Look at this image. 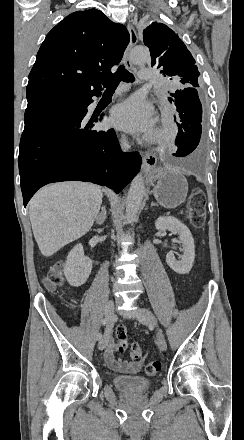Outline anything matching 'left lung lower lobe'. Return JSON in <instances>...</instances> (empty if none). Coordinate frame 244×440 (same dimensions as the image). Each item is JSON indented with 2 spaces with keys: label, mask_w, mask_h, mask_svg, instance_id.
Returning <instances> with one entry per match:
<instances>
[{
  "label": "left lung lower lobe",
  "mask_w": 244,
  "mask_h": 440,
  "mask_svg": "<svg viewBox=\"0 0 244 440\" xmlns=\"http://www.w3.org/2000/svg\"><path fill=\"white\" fill-rule=\"evenodd\" d=\"M176 106L174 119L178 126L175 145L178 147L174 156L184 157L198 146L202 131V105L195 87H187L170 93Z\"/></svg>",
  "instance_id": "left-lung-lower-lobe-1"
}]
</instances>
